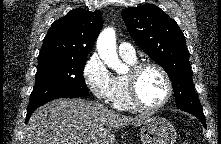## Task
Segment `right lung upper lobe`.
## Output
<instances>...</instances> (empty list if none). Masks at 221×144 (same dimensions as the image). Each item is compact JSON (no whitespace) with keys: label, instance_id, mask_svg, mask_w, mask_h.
I'll return each instance as SVG.
<instances>
[{"label":"right lung upper lobe","instance_id":"right-lung-upper-lobe-1","mask_svg":"<svg viewBox=\"0 0 221 144\" xmlns=\"http://www.w3.org/2000/svg\"><path fill=\"white\" fill-rule=\"evenodd\" d=\"M102 29V15L78 8L54 21L39 57L86 58Z\"/></svg>","mask_w":221,"mask_h":144}]
</instances>
